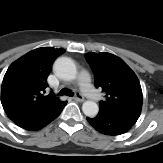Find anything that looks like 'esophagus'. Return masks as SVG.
<instances>
[{
	"instance_id": "esophagus-1",
	"label": "esophagus",
	"mask_w": 163,
	"mask_h": 163,
	"mask_svg": "<svg viewBox=\"0 0 163 163\" xmlns=\"http://www.w3.org/2000/svg\"><path fill=\"white\" fill-rule=\"evenodd\" d=\"M73 99H75L77 101H82L84 99V97L82 96V94L75 92Z\"/></svg>"
}]
</instances>
